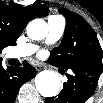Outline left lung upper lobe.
Listing matches in <instances>:
<instances>
[{"label":"left lung upper lobe","instance_id":"5c2ea615","mask_svg":"<svg viewBox=\"0 0 103 103\" xmlns=\"http://www.w3.org/2000/svg\"><path fill=\"white\" fill-rule=\"evenodd\" d=\"M58 11L66 18V28L60 46L50 53L49 62L68 70L90 56L103 57V50L89 23L65 8H59Z\"/></svg>","mask_w":103,"mask_h":103}]
</instances>
